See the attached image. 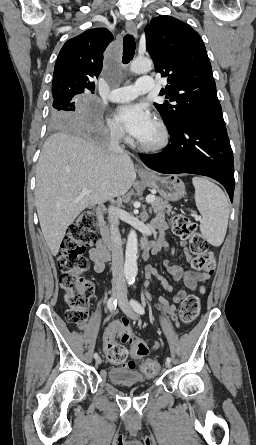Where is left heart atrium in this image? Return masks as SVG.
Here are the masks:
<instances>
[{"label":"left heart atrium","instance_id":"left-heart-atrium-1","mask_svg":"<svg viewBox=\"0 0 256 445\" xmlns=\"http://www.w3.org/2000/svg\"><path fill=\"white\" fill-rule=\"evenodd\" d=\"M116 118L123 128L138 140L146 136L155 124L150 111L139 104L119 107Z\"/></svg>","mask_w":256,"mask_h":445}]
</instances>
